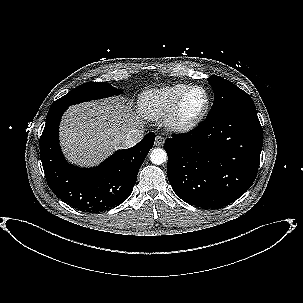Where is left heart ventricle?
I'll use <instances>...</instances> for the list:
<instances>
[{
    "label": "left heart ventricle",
    "instance_id": "obj_1",
    "mask_svg": "<svg viewBox=\"0 0 303 303\" xmlns=\"http://www.w3.org/2000/svg\"><path fill=\"white\" fill-rule=\"evenodd\" d=\"M205 104V96L204 93L199 90H193L189 96L187 97L184 107L183 114L186 117L193 116L202 110Z\"/></svg>",
    "mask_w": 303,
    "mask_h": 303
}]
</instances>
